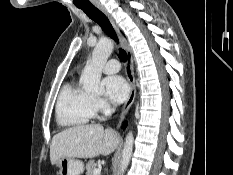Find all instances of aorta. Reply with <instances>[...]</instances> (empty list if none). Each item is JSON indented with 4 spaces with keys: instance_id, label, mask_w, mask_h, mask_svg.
Wrapping results in <instances>:
<instances>
[{
    "instance_id": "obj_1",
    "label": "aorta",
    "mask_w": 233,
    "mask_h": 175,
    "mask_svg": "<svg viewBox=\"0 0 233 175\" xmlns=\"http://www.w3.org/2000/svg\"><path fill=\"white\" fill-rule=\"evenodd\" d=\"M113 50V43L110 40H100L93 50L92 58L86 63L80 81L87 93H97L100 89L102 70ZM134 137L132 132L126 136L122 151L120 174L127 169L133 151Z\"/></svg>"
}]
</instances>
